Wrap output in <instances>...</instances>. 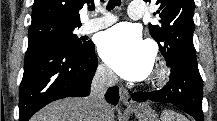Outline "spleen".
I'll return each instance as SVG.
<instances>
[{
    "label": "spleen",
    "instance_id": "1",
    "mask_svg": "<svg viewBox=\"0 0 217 121\" xmlns=\"http://www.w3.org/2000/svg\"><path fill=\"white\" fill-rule=\"evenodd\" d=\"M162 121H187V119L181 114L175 113L173 111H165L162 113Z\"/></svg>",
    "mask_w": 217,
    "mask_h": 121
}]
</instances>
